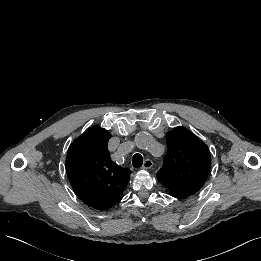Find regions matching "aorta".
<instances>
[{
  "label": "aorta",
  "instance_id": "obj_1",
  "mask_svg": "<svg viewBox=\"0 0 261 261\" xmlns=\"http://www.w3.org/2000/svg\"><path fill=\"white\" fill-rule=\"evenodd\" d=\"M151 137L150 135L148 134H143L139 139H138V142H137V145L139 148L141 149H144V148H149L150 147V144H151Z\"/></svg>",
  "mask_w": 261,
  "mask_h": 261
}]
</instances>
